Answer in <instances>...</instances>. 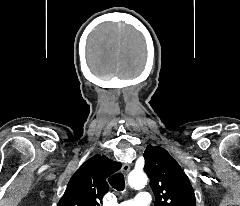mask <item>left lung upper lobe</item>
<instances>
[{
    "instance_id": "1",
    "label": "left lung upper lobe",
    "mask_w": 240,
    "mask_h": 206,
    "mask_svg": "<svg viewBox=\"0 0 240 206\" xmlns=\"http://www.w3.org/2000/svg\"><path fill=\"white\" fill-rule=\"evenodd\" d=\"M143 156L144 171L150 178L156 206H196L187 175L165 149L148 145Z\"/></svg>"
}]
</instances>
